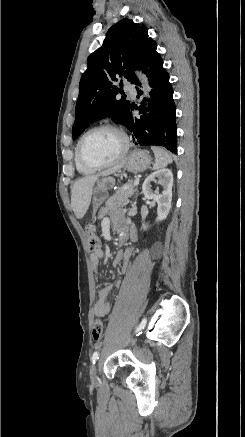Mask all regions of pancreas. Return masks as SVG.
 <instances>
[{"instance_id":"pancreas-1","label":"pancreas","mask_w":245,"mask_h":437,"mask_svg":"<svg viewBox=\"0 0 245 437\" xmlns=\"http://www.w3.org/2000/svg\"><path fill=\"white\" fill-rule=\"evenodd\" d=\"M135 191L136 189L133 186L132 180H129L125 185L118 188V190H116V192L105 202V207L101 208L99 212V219L103 218L111 211L122 207L128 201V199L132 197Z\"/></svg>"}]
</instances>
